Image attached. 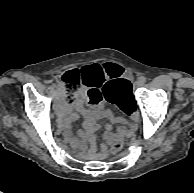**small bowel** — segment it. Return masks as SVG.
<instances>
[{
  "instance_id": "obj_1",
  "label": "small bowel",
  "mask_w": 194,
  "mask_h": 193,
  "mask_svg": "<svg viewBox=\"0 0 194 193\" xmlns=\"http://www.w3.org/2000/svg\"><path fill=\"white\" fill-rule=\"evenodd\" d=\"M120 73V67L115 64L97 65L83 72L82 91L71 103H64L61 106L59 123L66 134L69 132V124L77 117L73 112V110H76L84 117V129L87 132L95 129L96 119L106 117L109 120L106 126V135L107 137L112 136L113 126L119 121V118L110 109H103L100 106L101 94L99 89L112 82V79L118 77Z\"/></svg>"
}]
</instances>
